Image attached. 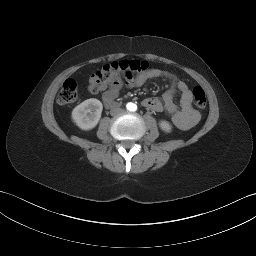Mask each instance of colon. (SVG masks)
<instances>
[{"label": "colon", "mask_w": 256, "mask_h": 256, "mask_svg": "<svg viewBox=\"0 0 256 256\" xmlns=\"http://www.w3.org/2000/svg\"><path fill=\"white\" fill-rule=\"evenodd\" d=\"M150 65L145 61L122 60L108 63L93 73L89 79V88L98 92L104 85L117 79H130L151 71ZM193 104L198 109L206 107L207 99L204 90L197 86L192 91ZM78 97V84L73 78L64 81L58 94L60 104L76 101Z\"/></svg>", "instance_id": "1"}]
</instances>
